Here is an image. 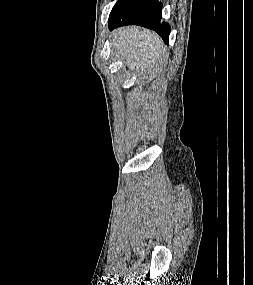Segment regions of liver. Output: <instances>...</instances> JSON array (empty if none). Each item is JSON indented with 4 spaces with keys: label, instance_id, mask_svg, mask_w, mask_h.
Masks as SVG:
<instances>
[{
    "label": "liver",
    "instance_id": "1",
    "mask_svg": "<svg viewBox=\"0 0 253 285\" xmlns=\"http://www.w3.org/2000/svg\"><path fill=\"white\" fill-rule=\"evenodd\" d=\"M114 46L131 70H150L162 59L163 43L150 30L128 26L112 33Z\"/></svg>",
    "mask_w": 253,
    "mask_h": 285
}]
</instances>
